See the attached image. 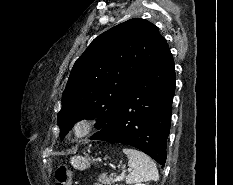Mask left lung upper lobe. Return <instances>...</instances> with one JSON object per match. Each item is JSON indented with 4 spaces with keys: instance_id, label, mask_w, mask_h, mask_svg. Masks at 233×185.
Wrapping results in <instances>:
<instances>
[{
    "instance_id": "left-lung-upper-lobe-1",
    "label": "left lung upper lobe",
    "mask_w": 233,
    "mask_h": 185,
    "mask_svg": "<svg viewBox=\"0 0 233 185\" xmlns=\"http://www.w3.org/2000/svg\"><path fill=\"white\" fill-rule=\"evenodd\" d=\"M158 28L130 19L95 38L75 62L58 114L63 138L81 119H95L102 129L116 117L137 81L167 50Z\"/></svg>"
}]
</instances>
